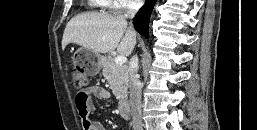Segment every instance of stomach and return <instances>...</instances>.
Listing matches in <instances>:
<instances>
[{
    "mask_svg": "<svg viewBox=\"0 0 257 130\" xmlns=\"http://www.w3.org/2000/svg\"><path fill=\"white\" fill-rule=\"evenodd\" d=\"M74 60L80 64L83 73L94 76L99 73L106 61L105 57L88 48L81 47L74 54Z\"/></svg>",
    "mask_w": 257,
    "mask_h": 130,
    "instance_id": "1",
    "label": "stomach"
}]
</instances>
